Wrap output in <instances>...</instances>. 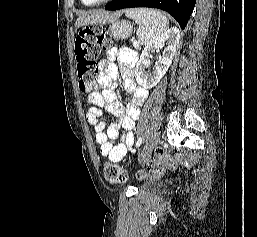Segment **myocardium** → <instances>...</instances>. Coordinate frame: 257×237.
I'll list each match as a JSON object with an SVG mask.
<instances>
[{
	"mask_svg": "<svg viewBox=\"0 0 257 237\" xmlns=\"http://www.w3.org/2000/svg\"><path fill=\"white\" fill-rule=\"evenodd\" d=\"M112 0H100V1H97V2H94V3H87L85 2L84 0H81V2L85 5V6H98V5H102V4H105V3H108Z\"/></svg>",
	"mask_w": 257,
	"mask_h": 237,
	"instance_id": "obj_1",
	"label": "myocardium"
}]
</instances>
